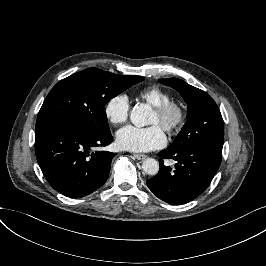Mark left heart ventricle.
Listing matches in <instances>:
<instances>
[{"label": "left heart ventricle", "instance_id": "left-heart-ventricle-1", "mask_svg": "<svg viewBox=\"0 0 266 266\" xmlns=\"http://www.w3.org/2000/svg\"><path fill=\"white\" fill-rule=\"evenodd\" d=\"M149 122L150 123L159 124L160 126L163 127V120H162V118L158 114H156L154 111H153V113H152V115L150 117V121Z\"/></svg>", "mask_w": 266, "mask_h": 266}]
</instances>
